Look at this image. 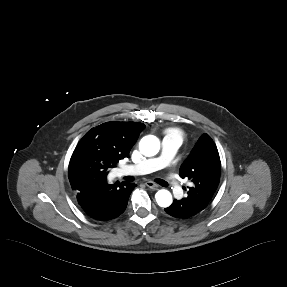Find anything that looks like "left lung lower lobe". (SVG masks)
Returning <instances> with one entry per match:
<instances>
[{"instance_id":"0a47b994","label":"left lung lower lobe","mask_w":287,"mask_h":287,"mask_svg":"<svg viewBox=\"0 0 287 287\" xmlns=\"http://www.w3.org/2000/svg\"><path fill=\"white\" fill-rule=\"evenodd\" d=\"M169 215L176 218H189L192 217L203 209L197 206L190 205L185 198L181 200H174V202L164 209Z\"/></svg>"}]
</instances>
